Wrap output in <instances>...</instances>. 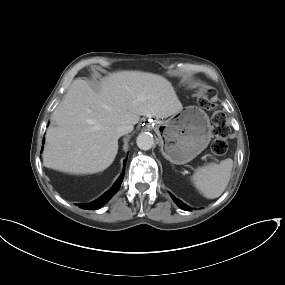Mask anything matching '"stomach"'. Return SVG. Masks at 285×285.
Returning <instances> with one entry per match:
<instances>
[{
	"instance_id": "1",
	"label": "stomach",
	"mask_w": 285,
	"mask_h": 285,
	"mask_svg": "<svg viewBox=\"0 0 285 285\" xmlns=\"http://www.w3.org/2000/svg\"><path fill=\"white\" fill-rule=\"evenodd\" d=\"M161 139V153L173 164L193 160L210 143L211 125L207 114L198 107L188 106L159 122L155 128Z\"/></svg>"
}]
</instances>
